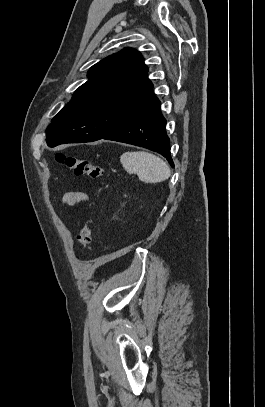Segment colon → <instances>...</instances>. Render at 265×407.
I'll return each mask as SVG.
<instances>
[{"mask_svg": "<svg viewBox=\"0 0 265 407\" xmlns=\"http://www.w3.org/2000/svg\"><path fill=\"white\" fill-rule=\"evenodd\" d=\"M55 157L59 164L73 171L75 175H88L90 178L95 179L100 177L103 173L102 167L90 159L65 153H57ZM92 227L93 220L91 216L88 215L83 220L82 228L77 236V241L81 249H86L91 245Z\"/></svg>", "mask_w": 265, "mask_h": 407, "instance_id": "5ec220e1", "label": "colon"}]
</instances>
